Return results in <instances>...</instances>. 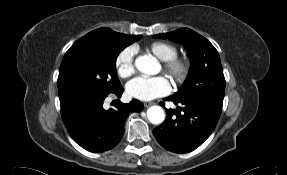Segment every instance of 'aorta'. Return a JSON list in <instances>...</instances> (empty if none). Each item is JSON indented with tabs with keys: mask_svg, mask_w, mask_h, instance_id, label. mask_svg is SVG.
Here are the masks:
<instances>
[{
	"mask_svg": "<svg viewBox=\"0 0 287 175\" xmlns=\"http://www.w3.org/2000/svg\"><path fill=\"white\" fill-rule=\"evenodd\" d=\"M136 68L147 75H153L157 73V62L154 58L148 56H139L135 60ZM147 118L152 124H160L165 119V113L160 106H151L147 110Z\"/></svg>",
	"mask_w": 287,
	"mask_h": 175,
	"instance_id": "aorta-1",
	"label": "aorta"
}]
</instances>
